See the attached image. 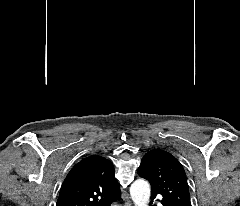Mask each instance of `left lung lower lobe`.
<instances>
[{"label":"left lung lower lobe","mask_w":240,"mask_h":206,"mask_svg":"<svg viewBox=\"0 0 240 206\" xmlns=\"http://www.w3.org/2000/svg\"><path fill=\"white\" fill-rule=\"evenodd\" d=\"M151 194H152V199H154L156 197V194H154V193H151ZM161 204L163 206H167L163 201H161ZM154 206H156V205H154Z\"/></svg>","instance_id":"obj_1"}]
</instances>
